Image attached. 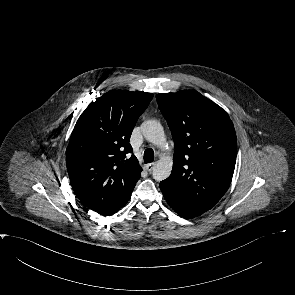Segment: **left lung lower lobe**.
Returning <instances> with one entry per match:
<instances>
[{"label":"left lung lower lobe","instance_id":"0a47b994","mask_svg":"<svg viewBox=\"0 0 295 295\" xmlns=\"http://www.w3.org/2000/svg\"><path fill=\"white\" fill-rule=\"evenodd\" d=\"M160 189L167 201V203L169 204L170 207L173 208V210L178 213L180 216L185 217V218H193L194 216H192L189 212H187L186 210H184V208H182L178 202L175 196H173L169 191L166 190L165 187L160 185Z\"/></svg>","mask_w":295,"mask_h":295}]
</instances>
